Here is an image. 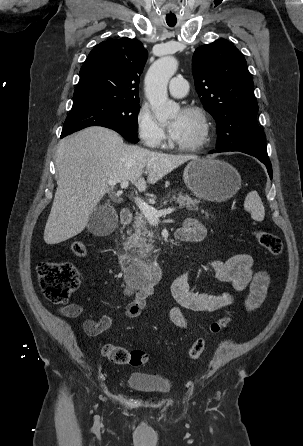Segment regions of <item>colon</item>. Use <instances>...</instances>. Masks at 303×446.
Returning <instances> with one entry per match:
<instances>
[{
    "instance_id": "1",
    "label": "colon",
    "mask_w": 303,
    "mask_h": 446,
    "mask_svg": "<svg viewBox=\"0 0 303 446\" xmlns=\"http://www.w3.org/2000/svg\"><path fill=\"white\" fill-rule=\"evenodd\" d=\"M254 236L257 242L272 256L278 257L281 255L283 244L278 236L261 230L256 231ZM71 251L78 257L87 255L86 245L79 240L71 244ZM37 275L44 296L55 304H65L79 286V273L69 263L41 262L37 266ZM230 320L229 316H224L213 321L208 326L206 333L197 338L191 345L188 350V357L192 360L198 359L206 349L208 337L217 334ZM101 352L105 358L115 364L140 366L148 360V354L143 350H128L115 344H105Z\"/></svg>"
}]
</instances>
